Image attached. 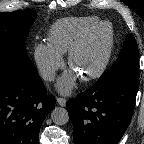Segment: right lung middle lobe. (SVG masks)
Instances as JSON below:
<instances>
[{
    "mask_svg": "<svg viewBox=\"0 0 144 144\" xmlns=\"http://www.w3.org/2000/svg\"><path fill=\"white\" fill-rule=\"evenodd\" d=\"M35 18L36 13L31 9L0 13V74L11 72L28 81L39 77L25 46L28 30Z\"/></svg>",
    "mask_w": 144,
    "mask_h": 144,
    "instance_id": "right-lung-middle-lobe-1",
    "label": "right lung middle lobe"
}]
</instances>
